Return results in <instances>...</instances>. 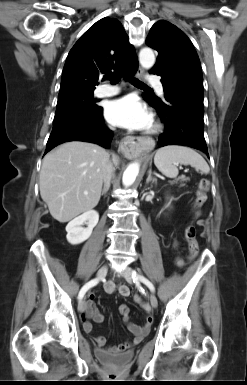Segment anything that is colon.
Masks as SVG:
<instances>
[{
	"mask_svg": "<svg viewBox=\"0 0 247 385\" xmlns=\"http://www.w3.org/2000/svg\"><path fill=\"white\" fill-rule=\"evenodd\" d=\"M210 189V182L208 179L203 178L199 182L198 191L194 201V211L196 214H200V209L207 201V193ZM184 238L188 244L190 257H195L199 252V244L196 239V229L192 223H187L184 228ZM127 290L124 291L126 293ZM138 296H136L137 298Z\"/></svg>",
	"mask_w": 247,
	"mask_h": 385,
	"instance_id": "5ec220e1",
	"label": "colon"
}]
</instances>
